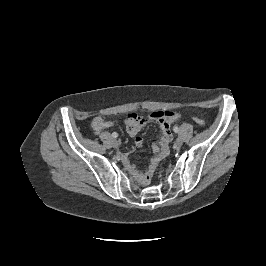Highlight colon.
I'll list each match as a JSON object with an SVG mask.
<instances>
[{"instance_id":"5ec220e1","label":"colon","mask_w":266,"mask_h":266,"mask_svg":"<svg viewBox=\"0 0 266 266\" xmlns=\"http://www.w3.org/2000/svg\"><path fill=\"white\" fill-rule=\"evenodd\" d=\"M193 121L200 126L205 125V121L200 117H193Z\"/></svg>"}]
</instances>
